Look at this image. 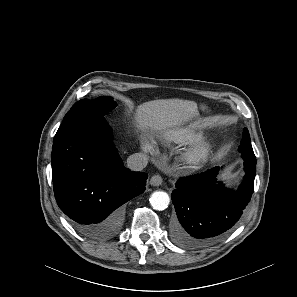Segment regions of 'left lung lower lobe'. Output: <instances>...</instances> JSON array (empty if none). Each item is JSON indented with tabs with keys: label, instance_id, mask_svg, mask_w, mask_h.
Wrapping results in <instances>:
<instances>
[{
	"label": "left lung lower lobe",
	"instance_id": "1",
	"mask_svg": "<svg viewBox=\"0 0 297 297\" xmlns=\"http://www.w3.org/2000/svg\"><path fill=\"white\" fill-rule=\"evenodd\" d=\"M241 154L245 176L237 191L217 183L219 167L177 181L171 194L179 220L172 227V240L176 244L205 247L238 224L252 196L256 175L254 153Z\"/></svg>",
	"mask_w": 297,
	"mask_h": 297
}]
</instances>
